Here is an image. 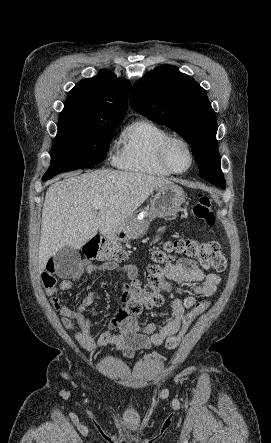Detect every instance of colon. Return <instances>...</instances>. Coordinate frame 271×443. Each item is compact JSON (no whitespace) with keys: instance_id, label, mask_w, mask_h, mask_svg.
<instances>
[{"instance_id":"colon-1","label":"colon","mask_w":271,"mask_h":443,"mask_svg":"<svg viewBox=\"0 0 271 443\" xmlns=\"http://www.w3.org/2000/svg\"><path fill=\"white\" fill-rule=\"evenodd\" d=\"M191 215L197 220L212 225L214 223V213L211 199L207 195L199 194L197 201L191 208ZM170 252L183 253L197 260L203 268L216 272L224 271L227 265L221 247L216 241L201 243L180 238L166 242L161 248H157L152 252L153 262L149 266V276L146 284L140 285L133 281L129 285L121 287L122 294L127 295V310L130 314L135 315L144 308L158 307L162 304L161 293L168 288L162 264ZM84 255L91 260L107 262H126L129 258V252L125 248L99 237H95L87 243ZM42 283L46 289L52 288L56 284L52 262L49 263L46 271L42 274ZM209 305V301L198 302L183 316L179 332L169 336L166 340L165 346L168 350L177 348L191 323L206 311Z\"/></svg>"}]
</instances>
